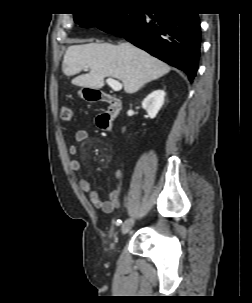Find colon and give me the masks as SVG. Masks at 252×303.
<instances>
[{
  "label": "colon",
  "instance_id": "obj_1",
  "mask_svg": "<svg viewBox=\"0 0 252 303\" xmlns=\"http://www.w3.org/2000/svg\"><path fill=\"white\" fill-rule=\"evenodd\" d=\"M60 117L63 121L70 122L73 120L74 112L70 105L64 104L60 109Z\"/></svg>",
  "mask_w": 252,
  "mask_h": 303
}]
</instances>
